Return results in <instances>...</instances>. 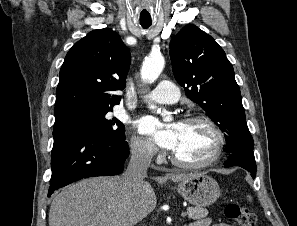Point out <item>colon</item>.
Here are the masks:
<instances>
[{"instance_id": "5ec220e1", "label": "colon", "mask_w": 297, "mask_h": 226, "mask_svg": "<svg viewBox=\"0 0 297 226\" xmlns=\"http://www.w3.org/2000/svg\"><path fill=\"white\" fill-rule=\"evenodd\" d=\"M224 212L228 219L236 221L240 226H255L256 224V216L237 203H228Z\"/></svg>"}]
</instances>
